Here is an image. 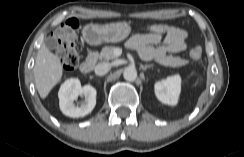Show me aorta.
Segmentation results:
<instances>
[{
	"instance_id": "1",
	"label": "aorta",
	"mask_w": 244,
	"mask_h": 157,
	"mask_svg": "<svg viewBox=\"0 0 244 157\" xmlns=\"http://www.w3.org/2000/svg\"><path fill=\"white\" fill-rule=\"evenodd\" d=\"M123 77L126 81L132 82L137 78V71L134 67H127L123 72Z\"/></svg>"
}]
</instances>
